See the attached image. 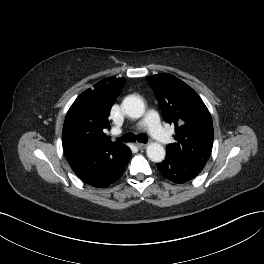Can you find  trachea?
I'll list each match as a JSON object with an SVG mask.
<instances>
[{
    "mask_svg": "<svg viewBox=\"0 0 264 264\" xmlns=\"http://www.w3.org/2000/svg\"><path fill=\"white\" fill-rule=\"evenodd\" d=\"M121 141L125 142H133L135 140L139 142H146L147 141V136L145 134H138L137 136L133 135L132 133H126L123 136L119 138Z\"/></svg>",
    "mask_w": 264,
    "mask_h": 264,
    "instance_id": "obj_1",
    "label": "trachea"
}]
</instances>
